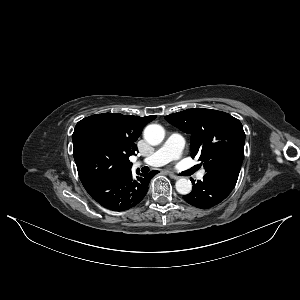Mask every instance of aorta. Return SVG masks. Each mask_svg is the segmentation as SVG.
Masks as SVG:
<instances>
[{"mask_svg":"<svg viewBox=\"0 0 300 300\" xmlns=\"http://www.w3.org/2000/svg\"><path fill=\"white\" fill-rule=\"evenodd\" d=\"M165 137V131L158 124H150L144 130V138L150 145L160 144ZM176 190L182 195H187L192 190V183L189 179L180 178L176 181Z\"/></svg>","mask_w":300,"mask_h":300,"instance_id":"1","label":"aorta"}]
</instances>
